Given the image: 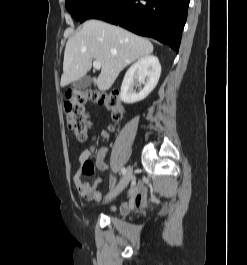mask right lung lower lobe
Wrapping results in <instances>:
<instances>
[{"mask_svg": "<svg viewBox=\"0 0 247 265\" xmlns=\"http://www.w3.org/2000/svg\"><path fill=\"white\" fill-rule=\"evenodd\" d=\"M190 0H99L80 19H101L168 44L177 53Z\"/></svg>", "mask_w": 247, "mask_h": 265, "instance_id": "obj_1", "label": "right lung lower lobe"}]
</instances>
